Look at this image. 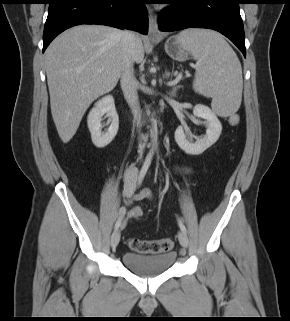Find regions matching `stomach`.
I'll list each match as a JSON object with an SVG mask.
<instances>
[{
    "label": "stomach",
    "mask_w": 290,
    "mask_h": 321,
    "mask_svg": "<svg viewBox=\"0 0 290 321\" xmlns=\"http://www.w3.org/2000/svg\"><path fill=\"white\" fill-rule=\"evenodd\" d=\"M165 51L173 60L183 62L189 59L191 52L185 48L177 39L170 37L165 43Z\"/></svg>",
    "instance_id": "0dacf381"
}]
</instances>
